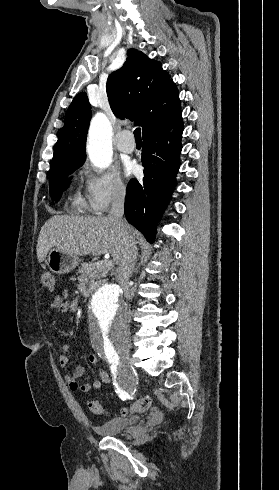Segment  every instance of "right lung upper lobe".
Wrapping results in <instances>:
<instances>
[{"instance_id": "cb5924a9", "label": "right lung upper lobe", "mask_w": 279, "mask_h": 490, "mask_svg": "<svg viewBox=\"0 0 279 490\" xmlns=\"http://www.w3.org/2000/svg\"><path fill=\"white\" fill-rule=\"evenodd\" d=\"M123 67L110 74L106 84L111 109L143 127V136L160 132L181 120L179 93L161 63L130 49ZM91 109L86 93L69 106L55 145L50 173L84 163Z\"/></svg>"}]
</instances>
